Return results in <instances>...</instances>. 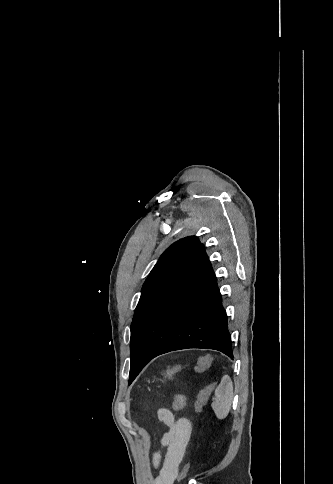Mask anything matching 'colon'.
Returning <instances> with one entry per match:
<instances>
[{"instance_id": "obj_1", "label": "colon", "mask_w": 333, "mask_h": 484, "mask_svg": "<svg viewBox=\"0 0 333 484\" xmlns=\"http://www.w3.org/2000/svg\"><path fill=\"white\" fill-rule=\"evenodd\" d=\"M211 363L210 357H203L201 358L198 363L196 364L195 371L196 372H203L206 370ZM216 386V383H211L201 389L197 395L195 408L197 412H200L205 405L208 397L212 393ZM186 404V395L183 393H178L175 395L173 402H172V409L174 410H181ZM189 470V464L185 465L183 469L180 471L178 480L181 481L185 478Z\"/></svg>"}]
</instances>
